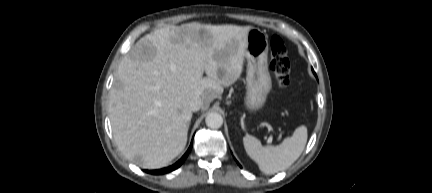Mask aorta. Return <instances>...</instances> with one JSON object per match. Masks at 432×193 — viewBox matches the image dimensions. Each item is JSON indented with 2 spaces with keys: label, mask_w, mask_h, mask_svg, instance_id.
I'll use <instances>...</instances> for the list:
<instances>
[{
  "label": "aorta",
  "mask_w": 432,
  "mask_h": 193,
  "mask_svg": "<svg viewBox=\"0 0 432 193\" xmlns=\"http://www.w3.org/2000/svg\"><path fill=\"white\" fill-rule=\"evenodd\" d=\"M205 123L209 128L218 129L223 124V118L219 113L211 112L207 114Z\"/></svg>",
  "instance_id": "aorta-1"
}]
</instances>
